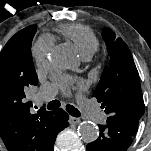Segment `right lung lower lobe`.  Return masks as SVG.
Wrapping results in <instances>:
<instances>
[{"label":"right lung lower lobe","instance_id":"obj_1","mask_svg":"<svg viewBox=\"0 0 151 151\" xmlns=\"http://www.w3.org/2000/svg\"><path fill=\"white\" fill-rule=\"evenodd\" d=\"M68 114L61 108L54 110L50 116V121L47 126L51 134V149L53 151V145L56 139L57 134L66 128L68 124Z\"/></svg>","mask_w":151,"mask_h":151}]
</instances>
